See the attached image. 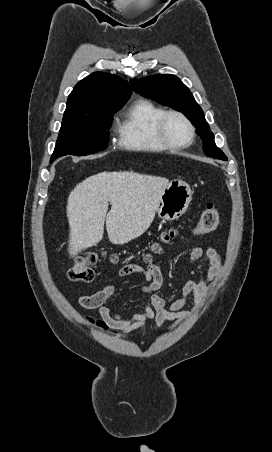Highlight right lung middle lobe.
<instances>
[{"mask_svg": "<svg viewBox=\"0 0 272 452\" xmlns=\"http://www.w3.org/2000/svg\"><path fill=\"white\" fill-rule=\"evenodd\" d=\"M124 104L109 106L88 116L63 119L50 162L68 154L84 156L105 149L112 115Z\"/></svg>", "mask_w": 272, "mask_h": 452, "instance_id": "1", "label": "right lung middle lobe"}]
</instances>
